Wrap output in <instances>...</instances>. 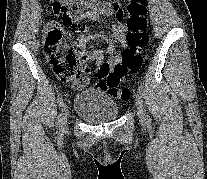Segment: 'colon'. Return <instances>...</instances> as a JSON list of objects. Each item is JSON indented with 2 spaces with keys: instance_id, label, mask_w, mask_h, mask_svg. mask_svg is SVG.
<instances>
[{
  "instance_id": "obj_1",
  "label": "colon",
  "mask_w": 207,
  "mask_h": 179,
  "mask_svg": "<svg viewBox=\"0 0 207 179\" xmlns=\"http://www.w3.org/2000/svg\"><path fill=\"white\" fill-rule=\"evenodd\" d=\"M55 13L62 17V22L72 24V16L83 11V4L91 0H51ZM114 0L96 4L93 8L105 10ZM148 0H129L127 10V47L122 51L116 64L103 62L95 70L99 80L97 85L110 96L126 101L131 90L123 86L129 74L138 73L143 65L142 51L149 43L147 33ZM79 41L72 39L59 24L49 21L44 26V49L54 75L61 82L87 83L86 75L91 73V66L86 55L78 51Z\"/></svg>"
}]
</instances>
